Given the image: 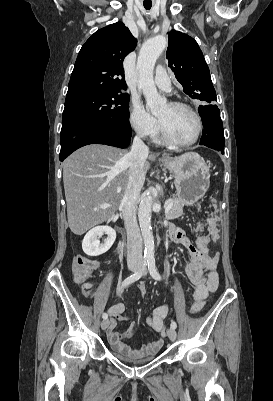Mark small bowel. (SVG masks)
I'll use <instances>...</instances> for the list:
<instances>
[{
	"label": "small bowel",
	"instance_id": "c3829d8e",
	"mask_svg": "<svg viewBox=\"0 0 273 401\" xmlns=\"http://www.w3.org/2000/svg\"><path fill=\"white\" fill-rule=\"evenodd\" d=\"M218 221L219 218L217 215H210L208 222L206 223V228L208 229L207 233L200 235L195 244L191 243L190 240L184 234H182L180 228H173L169 230L170 238L178 239L180 243L191 253L192 259L184 267L185 275H187L188 271H204L205 275L208 277L207 284H193L192 313L202 310L207 301L212 297L218 288V254L216 253L211 255L209 253V244L217 239V232L214 228ZM88 261L95 260L88 259ZM76 282L82 284V289H84L83 286L87 280H76ZM93 300H95L98 305H103L107 303L108 298L104 295L103 290H92L90 291L89 295L85 296L84 301L85 303L90 304ZM125 310L126 307L123 303H117L106 310V314L109 317L107 336L112 348L124 356H150L155 354L160 348L162 340L167 338V335L162 333L160 335L161 339L158 341L149 343L140 350H131L122 342V339L125 337L126 333L116 330L119 322L131 318V316L125 313ZM168 311L169 307L166 304L155 308L152 315L146 320L148 327L157 333L163 332Z\"/></svg>",
	"mask_w": 273,
	"mask_h": 401
}]
</instances>
